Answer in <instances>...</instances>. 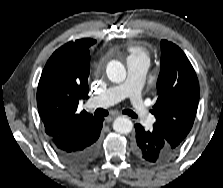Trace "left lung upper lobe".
<instances>
[{"mask_svg": "<svg viewBox=\"0 0 223 188\" xmlns=\"http://www.w3.org/2000/svg\"><path fill=\"white\" fill-rule=\"evenodd\" d=\"M198 102L199 83L190 61L177 45L162 40L157 100L151 112L156 118L153 128L175 152L193 126Z\"/></svg>", "mask_w": 223, "mask_h": 188, "instance_id": "1", "label": "left lung upper lobe"}]
</instances>
